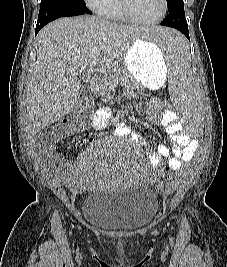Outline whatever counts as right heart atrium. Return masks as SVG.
<instances>
[{
    "label": "right heart atrium",
    "mask_w": 227,
    "mask_h": 267,
    "mask_svg": "<svg viewBox=\"0 0 227 267\" xmlns=\"http://www.w3.org/2000/svg\"><path fill=\"white\" fill-rule=\"evenodd\" d=\"M84 2L94 12L105 15L113 0H84Z\"/></svg>",
    "instance_id": "d8ad5b80"
}]
</instances>
